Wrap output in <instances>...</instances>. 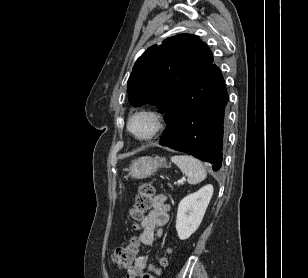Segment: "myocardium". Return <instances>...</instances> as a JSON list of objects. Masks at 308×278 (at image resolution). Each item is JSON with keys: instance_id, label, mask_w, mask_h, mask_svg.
<instances>
[{"instance_id": "myocardium-1", "label": "myocardium", "mask_w": 308, "mask_h": 278, "mask_svg": "<svg viewBox=\"0 0 308 278\" xmlns=\"http://www.w3.org/2000/svg\"><path fill=\"white\" fill-rule=\"evenodd\" d=\"M139 116H147L149 117L152 122H153V127L151 129V131L144 135V136H139L137 135L131 128V124L133 122V120ZM165 127V122H164V118L162 116L161 113H159L156 110H152V109H140L135 111L134 113H132L130 115V117L128 118L127 121V130L128 132L137 140L139 141H150L155 139L156 137H158L161 132L163 131Z\"/></svg>"}]
</instances>
